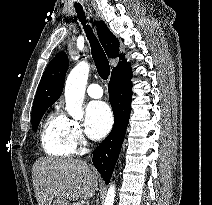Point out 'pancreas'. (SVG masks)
I'll use <instances>...</instances> for the list:
<instances>
[{
  "instance_id": "obj_1",
  "label": "pancreas",
  "mask_w": 212,
  "mask_h": 205,
  "mask_svg": "<svg viewBox=\"0 0 212 205\" xmlns=\"http://www.w3.org/2000/svg\"><path fill=\"white\" fill-rule=\"evenodd\" d=\"M73 205H80L79 203H74Z\"/></svg>"
}]
</instances>
